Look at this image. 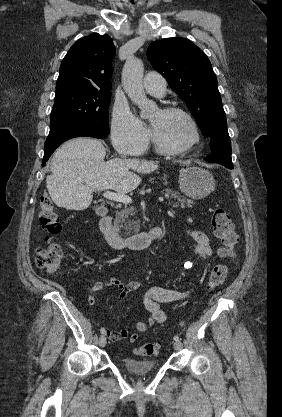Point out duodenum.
Instances as JSON below:
<instances>
[{"label": "duodenum", "mask_w": 282, "mask_h": 417, "mask_svg": "<svg viewBox=\"0 0 282 417\" xmlns=\"http://www.w3.org/2000/svg\"><path fill=\"white\" fill-rule=\"evenodd\" d=\"M99 229L109 246L114 250L125 248L132 250L146 249L161 235V228L155 227L146 233L122 236L113 228L112 216L109 214L102 215L99 222Z\"/></svg>", "instance_id": "410a0bca"}]
</instances>
